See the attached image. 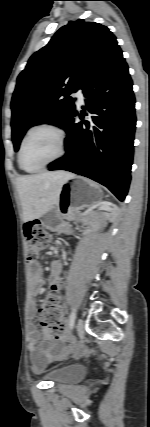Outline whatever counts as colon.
I'll list each match as a JSON object with an SVG mask.
<instances>
[{"label": "colon", "instance_id": "5ec220e1", "mask_svg": "<svg viewBox=\"0 0 150 427\" xmlns=\"http://www.w3.org/2000/svg\"><path fill=\"white\" fill-rule=\"evenodd\" d=\"M24 233L27 239V260L33 263L38 259L40 252L47 246L51 236L38 220L27 222L24 226ZM39 318L41 325L52 336H65L66 328L56 290L51 289L42 301L39 308Z\"/></svg>", "mask_w": 150, "mask_h": 427}]
</instances>
